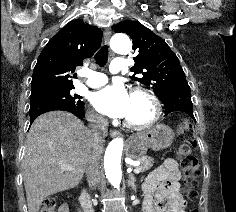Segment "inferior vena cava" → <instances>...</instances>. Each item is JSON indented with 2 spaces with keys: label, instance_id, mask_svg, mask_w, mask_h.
I'll return each instance as SVG.
<instances>
[{
  "label": "inferior vena cava",
  "instance_id": "602c4592",
  "mask_svg": "<svg viewBox=\"0 0 236 212\" xmlns=\"http://www.w3.org/2000/svg\"><path fill=\"white\" fill-rule=\"evenodd\" d=\"M89 121L93 151L86 168V175L89 186L95 187L101 180L99 147L108 134L109 123L100 115H91Z\"/></svg>",
  "mask_w": 236,
  "mask_h": 212
}]
</instances>
